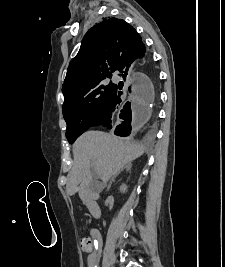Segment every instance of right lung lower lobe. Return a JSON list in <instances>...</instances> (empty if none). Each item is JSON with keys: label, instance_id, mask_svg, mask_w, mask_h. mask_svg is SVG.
<instances>
[{"label": "right lung lower lobe", "instance_id": "98d812e1", "mask_svg": "<svg viewBox=\"0 0 225 267\" xmlns=\"http://www.w3.org/2000/svg\"><path fill=\"white\" fill-rule=\"evenodd\" d=\"M136 60H139L140 62L144 63L147 66L148 72L151 77L144 76L145 82L149 85L152 86V78H155V73L153 68L150 66V61L147 56H145V46L141 42L137 44L135 47L130 49L124 59L122 64L120 65L119 69L117 70L121 77L123 79H126L127 76L131 75V72L134 68V62ZM131 87H129L130 91ZM123 94V90L121 87L117 86L115 93L109 102L107 108L102 112V114L99 116V118L92 124L93 126H104L109 129L114 128V123H113V111L115 109H118V107L121 105L122 100H121V95ZM126 122V123H125ZM124 124L118 126L116 128V134L121 135V136H126L128 134L129 130V122L127 123V120L125 118Z\"/></svg>", "mask_w": 225, "mask_h": 267}]
</instances>
